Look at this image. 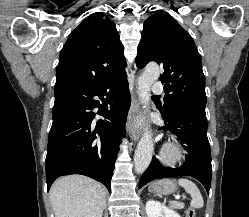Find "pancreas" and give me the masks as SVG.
I'll return each instance as SVG.
<instances>
[{"label":"pancreas","instance_id":"pancreas-1","mask_svg":"<svg viewBox=\"0 0 249 217\" xmlns=\"http://www.w3.org/2000/svg\"><path fill=\"white\" fill-rule=\"evenodd\" d=\"M171 208H175V209H183L184 208V204L182 202H172L170 204Z\"/></svg>","mask_w":249,"mask_h":217}]
</instances>
